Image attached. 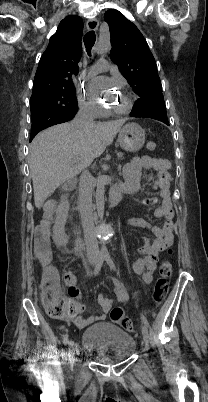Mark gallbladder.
Returning a JSON list of instances; mask_svg holds the SVG:
<instances>
[{"label": "gallbladder", "instance_id": "1", "mask_svg": "<svg viewBox=\"0 0 208 402\" xmlns=\"http://www.w3.org/2000/svg\"><path fill=\"white\" fill-rule=\"evenodd\" d=\"M59 187L60 188H58V193H63V190H68L69 189L70 184H69L68 181H61L60 184H59Z\"/></svg>", "mask_w": 208, "mask_h": 402}]
</instances>
